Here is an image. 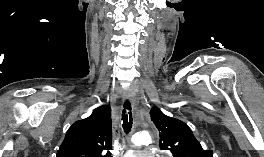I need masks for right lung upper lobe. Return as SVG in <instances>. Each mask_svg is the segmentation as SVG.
<instances>
[{"mask_svg": "<svg viewBox=\"0 0 264 157\" xmlns=\"http://www.w3.org/2000/svg\"><path fill=\"white\" fill-rule=\"evenodd\" d=\"M111 109L102 105L68 129L56 157H111Z\"/></svg>", "mask_w": 264, "mask_h": 157, "instance_id": "right-lung-upper-lobe-1", "label": "right lung upper lobe"}]
</instances>
